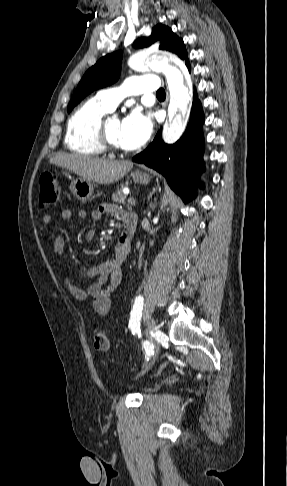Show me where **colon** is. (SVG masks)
<instances>
[{"label":"colon","mask_w":287,"mask_h":486,"mask_svg":"<svg viewBox=\"0 0 287 486\" xmlns=\"http://www.w3.org/2000/svg\"><path fill=\"white\" fill-rule=\"evenodd\" d=\"M60 187L53 173L47 172L41 175L39 180L38 204L47 207L57 201ZM94 346L97 350L106 351L110 346V340L105 330L97 329L94 332Z\"/></svg>","instance_id":"obj_1"}]
</instances>
